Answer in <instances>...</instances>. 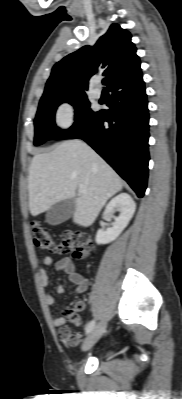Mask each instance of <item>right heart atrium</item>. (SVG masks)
Segmentation results:
<instances>
[{
    "mask_svg": "<svg viewBox=\"0 0 182 399\" xmlns=\"http://www.w3.org/2000/svg\"><path fill=\"white\" fill-rule=\"evenodd\" d=\"M76 118V107L70 102L62 103L55 112L54 120L60 129L70 128Z\"/></svg>",
    "mask_w": 182,
    "mask_h": 399,
    "instance_id": "right-heart-atrium-1",
    "label": "right heart atrium"
}]
</instances>
